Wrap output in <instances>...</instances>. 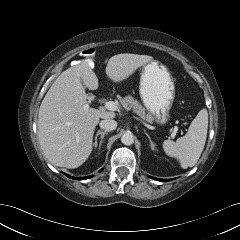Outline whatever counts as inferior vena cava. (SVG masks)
Masks as SVG:
<instances>
[{
    "label": "inferior vena cava",
    "instance_id": "1",
    "mask_svg": "<svg viewBox=\"0 0 240 240\" xmlns=\"http://www.w3.org/2000/svg\"><path fill=\"white\" fill-rule=\"evenodd\" d=\"M100 127L105 131H112L116 129L117 122L113 119H104L100 122Z\"/></svg>",
    "mask_w": 240,
    "mask_h": 240
}]
</instances>
